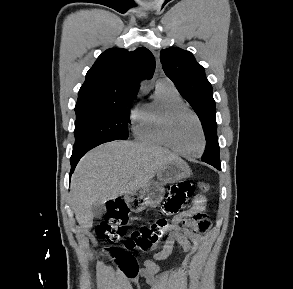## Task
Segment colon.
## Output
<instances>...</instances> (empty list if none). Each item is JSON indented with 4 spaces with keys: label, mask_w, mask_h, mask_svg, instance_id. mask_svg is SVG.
Wrapping results in <instances>:
<instances>
[{
    "label": "colon",
    "mask_w": 293,
    "mask_h": 289,
    "mask_svg": "<svg viewBox=\"0 0 293 289\" xmlns=\"http://www.w3.org/2000/svg\"><path fill=\"white\" fill-rule=\"evenodd\" d=\"M198 188L202 192H208L209 185L200 182ZM193 189V185L189 182H181L170 186L167 200L161 209L162 214L169 215L180 210L183 207L187 196L193 192ZM126 214L127 211L124 203L119 201L113 202L109 206L106 216L97 225V236L107 242L119 241L124 232ZM200 216L206 215L204 212H201ZM184 223L186 225L194 226L196 229L202 227L201 224L194 223L192 220H186ZM167 230V220L165 218H157L132 232L124 242L125 247L127 250H149L166 235ZM107 252L117 257V260L128 277L136 275L137 266L133 256L129 254V252H117L115 250H108Z\"/></svg>",
    "instance_id": "obj_1"
}]
</instances>
